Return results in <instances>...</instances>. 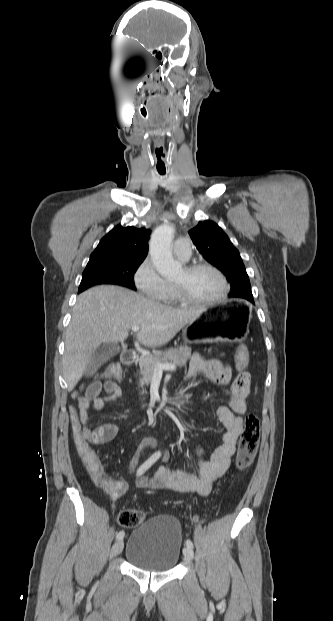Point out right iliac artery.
<instances>
[{
	"mask_svg": "<svg viewBox=\"0 0 333 621\" xmlns=\"http://www.w3.org/2000/svg\"><path fill=\"white\" fill-rule=\"evenodd\" d=\"M159 454L158 453H154L153 455H151L137 470L136 475L140 476L143 473H145L159 458ZM124 531H120L117 533L116 535V540H122L124 538Z\"/></svg>",
	"mask_w": 333,
	"mask_h": 621,
	"instance_id": "82829eb1",
	"label": "right iliac artery"
}]
</instances>
